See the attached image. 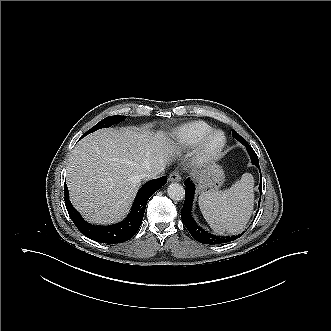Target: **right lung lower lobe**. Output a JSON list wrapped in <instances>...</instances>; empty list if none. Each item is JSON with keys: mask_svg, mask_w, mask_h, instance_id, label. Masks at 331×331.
I'll return each instance as SVG.
<instances>
[{"mask_svg": "<svg viewBox=\"0 0 331 331\" xmlns=\"http://www.w3.org/2000/svg\"><path fill=\"white\" fill-rule=\"evenodd\" d=\"M167 182V177L151 180L144 184L138 191L128 217L117 224L109 226H94L82 219L78 211L72 206L68 189L65 184V205L70 218L86 237L101 243H122L134 236L138 231L144 216L147 201L150 196Z\"/></svg>", "mask_w": 331, "mask_h": 331, "instance_id": "1", "label": "right lung lower lobe"}]
</instances>
